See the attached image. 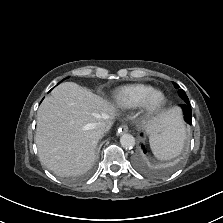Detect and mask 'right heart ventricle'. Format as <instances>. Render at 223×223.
Returning a JSON list of instances; mask_svg holds the SVG:
<instances>
[{
    "mask_svg": "<svg viewBox=\"0 0 223 223\" xmlns=\"http://www.w3.org/2000/svg\"><path fill=\"white\" fill-rule=\"evenodd\" d=\"M152 87L143 83H134L119 87L113 93L114 103L122 109H132L140 105L143 97Z\"/></svg>",
    "mask_w": 223,
    "mask_h": 223,
    "instance_id": "obj_1",
    "label": "right heart ventricle"
}]
</instances>
